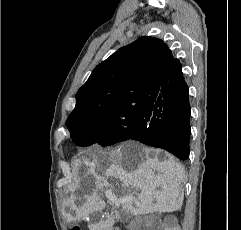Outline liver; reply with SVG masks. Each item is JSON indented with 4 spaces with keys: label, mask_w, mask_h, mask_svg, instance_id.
Segmentation results:
<instances>
[{
    "label": "liver",
    "mask_w": 241,
    "mask_h": 230,
    "mask_svg": "<svg viewBox=\"0 0 241 230\" xmlns=\"http://www.w3.org/2000/svg\"><path fill=\"white\" fill-rule=\"evenodd\" d=\"M151 153L154 154L153 157L150 156ZM159 154V150H152L130 141L108 152L93 154L92 160H83L80 165L84 164L86 171L80 172L81 176L68 186L67 191L74 193L77 189L84 188L87 177L94 179L95 188L85 196L86 201L81 206L75 204L73 195L64 202V207L69 208V212H65L67 222L85 219L102 208L98 191L104 187L112 188L108 182L109 177L120 180L124 188L140 189L136 207L129 199L120 202L122 211L128 214L179 210L184 199L182 191L184 167L169 153L165 152L161 159L158 158ZM143 156L145 159L141 161ZM155 171L158 173L155 174ZM72 211L75 212L74 215L71 214ZM112 225V221H100L90 224L89 229L110 230Z\"/></svg>",
    "instance_id": "6515ba94"
}]
</instances>
